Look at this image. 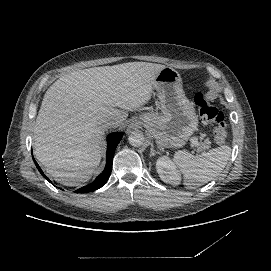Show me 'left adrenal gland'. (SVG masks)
<instances>
[{"mask_svg":"<svg viewBox=\"0 0 271 271\" xmlns=\"http://www.w3.org/2000/svg\"><path fill=\"white\" fill-rule=\"evenodd\" d=\"M155 153L159 154V152H158V151H156V150L154 149L153 144H151V152H150V156H154V155H155Z\"/></svg>","mask_w":271,"mask_h":271,"instance_id":"obj_1","label":"left adrenal gland"}]
</instances>
